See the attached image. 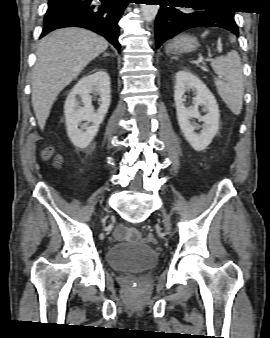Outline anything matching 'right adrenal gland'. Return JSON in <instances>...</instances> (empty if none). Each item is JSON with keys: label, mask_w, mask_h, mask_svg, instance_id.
Segmentation results:
<instances>
[{"label": "right adrenal gland", "mask_w": 270, "mask_h": 338, "mask_svg": "<svg viewBox=\"0 0 270 338\" xmlns=\"http://www.w3.org/2000/svg\"><path fill=\"white\" fill-rule=\"evenodd\" d=\"M109 55H110L109 53H104V57L109 56Z\"/></svg>", "instance_id": "1"}]
</instances>
